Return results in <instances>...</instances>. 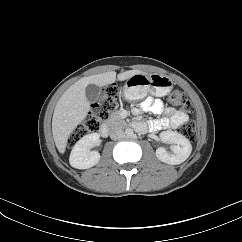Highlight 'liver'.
Listing matches in <instances>:
<instances>
[{"label":"liver","mask_w":242,"mask_h":242,"mask_svg":"<svg viewBox=\"0 0 242 242\" xmlns=\"http://www.w3.org/2000/svg\"><path fill=\"white\" fill-rule=\"evenodd\" d=\"M138 73L144 72L129 70L119 73L117 79L124 81ZM115 80V71L92 75L80 79L64 92L57 102L52 118L53 138L60 153L65 152L70 134L85 119L90 110V103L85 93L86 87L89 84L102 87L115 82Z\"/></svg>","instance_id":"liver-1"}]
</instances>
